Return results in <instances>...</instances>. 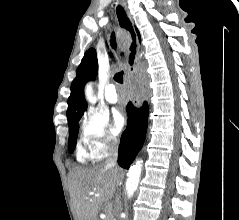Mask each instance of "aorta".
Returning a JSON list of instances; mask_svg holds the SVG:
<instances>
[{"label": "aorta", "mask_w": 239, "mask_h": 220, "mask_svg": "<svg viewBox=\"0 0 239 220\" xmlns=\"http://www.w3.org/2000/svg\"><path fill=\"white\" fill-rule=\"evenodd\" d=\"M86 97L90 102H95V98L92 95V89L91 86H88L86 89ZM142 160H137L134 165L130 167V170L127 175L126 180V193L128 198H131L136 191L139 182H140V176H141V170H142Z\"/></svg>", "instance_id": "1"}]
</instances>
